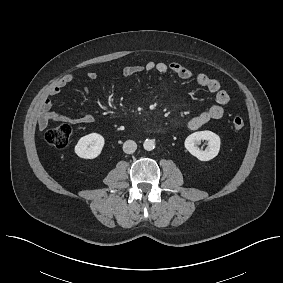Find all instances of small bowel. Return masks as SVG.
I'll return each mask as SVG.
<instances>
[{"label":"small bowel","instance_id":"obj_1","mask_svg":"<svg viewBox=\"0 0 283 283\" xmlns=\"http://www.w3.org/2000/svg\"><path fill=\"white\" fill-rule=\"evenodd\" d=\"M141 72L159 74H166L168 72H171L184 80H188L194 77L197 85L205 88L209 92L215 93V104L188 120L187 128L189 130H197L211 120L222 118L224 115V107L230 101L229 94L225 90L221 89V84L217 79L203 73L194 76L191 70L177 62H148L145 65H127L122 69V74L126 77H130ZM85 77L88 80H93L95 79L96 74L92 71H88L85 73ZM73 79L74 76L72 74H68L63 77L58 85H56L51 90L50 97L58 95L63 88H65L73 81ZM84 91L86 94L89 93L88 88H84ZM50 97L46 98L41 104L40 113L38 116V125L41 130L46 129L51 122L87 124L94 121V116L91 113H87L78 117H72L53 112L51 110L52 101Z\"/></svg>","mask_w":283,"mask_h":283}]
</instances>
